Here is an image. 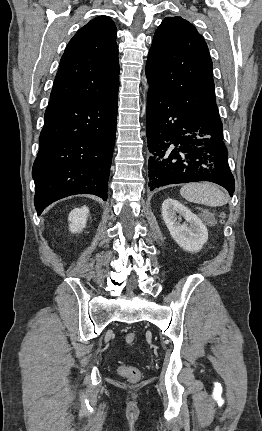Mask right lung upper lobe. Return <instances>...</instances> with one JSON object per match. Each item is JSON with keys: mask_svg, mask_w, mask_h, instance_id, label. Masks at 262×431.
Masks as SVG:
<instances>
[{"mask_svg": "<svg viewBox=\"0 0 262 431\" xmlns=\"http://www.w3.org/2000/svg\"><path fill=\"white\" fill-rule=\"evenodd\" d=\"M117 30L99 16L70 40L61 58L50 101L104 100L119 88Z\"/></svg>", "mask_w": 262, "mask_h": 431, "instance_id": "cb5924a9", "label": "right lung upper lobe"}]
</instances>
